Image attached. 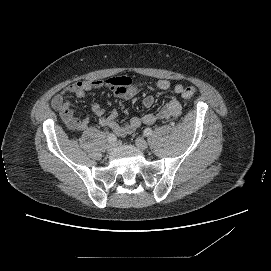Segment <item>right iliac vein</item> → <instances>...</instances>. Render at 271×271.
<instances>
[{
	"mask_svg": "<svg viewBox=\"0 0 271 271\" xmlns=\"http://www.w3.org/2000/svg\"><path fill=\"white\" fill-rule=\"evenodd\" d=\"M114 147H115V142H108L106 148H107L108 151H111V150L114 149Z\"/></svg>",
	"mask_w": 271,
	"mask_h": 271,
	"instance_id": "1",
	"label": "right iliac vein"
}]
</instances>
